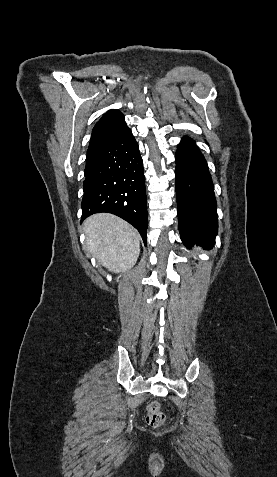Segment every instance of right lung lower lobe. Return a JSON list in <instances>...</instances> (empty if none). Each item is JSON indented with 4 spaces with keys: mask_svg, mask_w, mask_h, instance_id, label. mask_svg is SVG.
Masks as SVG:
<instances>
[{
    "mask_svg": "<svg viewBox=\"0 0 277 477\" xmlns=\"http://www.w3.org/2000/svg\"><path fill=\"white\" fill-rule=\"evenodd\" d=\"M81 203L83 221L100 212L132 224L146 245L148 227L143 161L129 128L110 143L87 152Z\"/></svg>",
    "mask_w": 277,
    "mask_h": 477,
    "instance_id": "right-lung-lower-lobe-1",
    "label": "right lung lower lobe"
}]
</instances>
